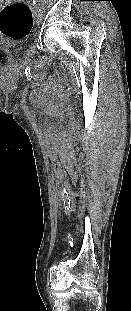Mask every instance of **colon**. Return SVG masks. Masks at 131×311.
<instances>
[{"instance_id": "1", "label": "colon", "mask_w": 131, "mask_h": 311, "mask_svg": "<svg viewBox=\"0 0 131 311\" xmlns=\"http://www.w3.org/2000/svg\"><path fill=\"white\" fill-rule=\"evenodd\" d=\"M33 27L30 7L23 2H13L0 9V33L8 38L20 40L26 37ZM3 61L4 57L0 56Z\"/></svg>"}]
</instances>
